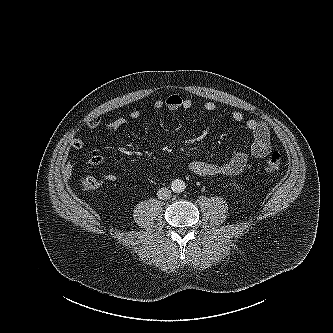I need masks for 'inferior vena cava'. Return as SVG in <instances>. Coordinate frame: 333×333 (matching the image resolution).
<instances>
[{
    "mask_svg": "<svg viewBox=\"0 0 333 333\" xmlns=\"http://www.w3.org/2000/svg\"><path fill=\"white\" fill-rule=\"evenodd\" d=\"M171 190L168 188H160L157 192V196L161 200H168L171 198Z\"/></svg>",
    "mask_w": 333,
    "mask_h": 333,
    "instance_id": "inferior-vena-cava-1",
    "label": "inferior vena cava"
}]
</instances>
